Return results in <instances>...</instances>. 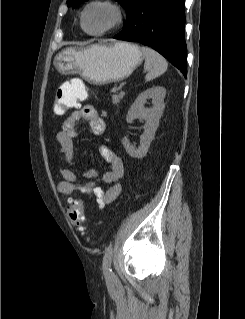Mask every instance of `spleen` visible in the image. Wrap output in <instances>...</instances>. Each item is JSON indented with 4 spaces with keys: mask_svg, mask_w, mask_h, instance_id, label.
<instances>
[{
    "mask_svg": "<svg viewBox=\"0 0 245 319\" xmlns=\"http://www.w3.org/2000/svg\"><path fill=\"white\" fill-rule=\"evenodd\" d=\"M141 50L145 57L144 69L148 72L145 76L146 81L159 77L167 70L168 63L163 56L146 46H143Z\"/></svg>",
    "mask_w": 245,
    "mask_h": 319,
    "instance_id": "spleen-1",
    "label": "spleen"
}]
</instances>
